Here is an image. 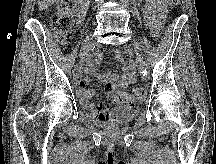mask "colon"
<instances>
[{
	"label": "colon",
	"instance_id": "colon-1",
	"mask_svg": "<svg viewBox=\"0 0 216 164\" xmlns=\"http://www.w3.org/2000/svg\"><path fill=\"white\" fill-rule=\"evenodd\" d=\"M174 9L180 5L181 0H170ZM76 9V0H60L56 11L52 17L51 24L56 37L62 41L66 33L72 26L73 14ZM146 96V90L143 87H136L130 93L117 92L115 99L120 104L134 105L141 102Z\"/></svg>",
	"mask_w": 216,
	"mask_h": 164
}]
</instances>
